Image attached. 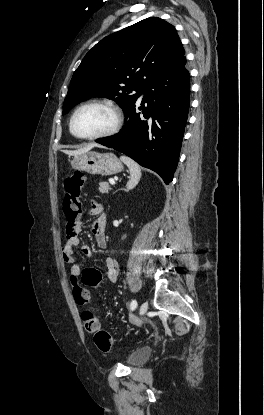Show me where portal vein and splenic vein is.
Wrapping results in <instances>:
<instances>
[{
    "label": "portal vein and splenic vein",
    "mask_w": 264,
    "mask_h": 415,
    "mask_svg": "<svg viewBox=\"0 0 264 415\" xmlns=\"http://www.w3.org/2000/svg\"><path fill=\"white\" fill-rule=\"evenodd\" d=\"M110 184L114 185L115 181L113 179L109 180Z\"/></svg>",
    "instance_id": "18ae733b"
}]
</instances>
